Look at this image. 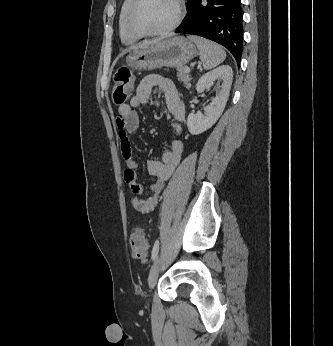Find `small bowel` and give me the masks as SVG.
Here are the masks:
<instances>
[{
  "label": "small bowel",
  "mask_w": 333,
  "mask_h": 346,
  "mask_svg": "<svg viewBox=\"0 0 333 346\" xmlns=\"http://www.w3.org/2000/svg\"><path fill=\"white\" fill-rule=\"evenodd\" d=\"M162 95L165 99L166 109L171 117V128L176 136L172 142V148L162 154L161 160L150 159L147 161L148 173L154 178L149 189L151 196L146 198L134 197L131 205L139 213L151 212L158 205L165 181L170 178L179 164L183 153V142L178 138L182 133V122L185 117L184 102L175 86L167 78L159 75H147L136 88L135 94L128 104L119 107L117 127L122 157L125 163L124 179L131 192L141 195L145 187L137 181V162L133 158L132 146L129 135L134 134L138 128L139 116L134 108L145 105L152 96Z\"/></svg>",
  "instance_id": "obj_1"
}]
</instances>
